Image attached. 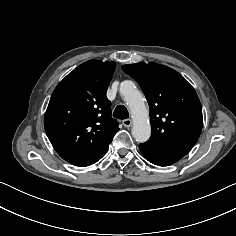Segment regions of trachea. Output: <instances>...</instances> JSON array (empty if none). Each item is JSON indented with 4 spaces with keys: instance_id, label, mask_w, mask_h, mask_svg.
<instances>
[{
    "instance_id": "obj_1",
    "label": "trachea",
    "mask_w": 236,
    "mask_h": 236,
    "mask_svg": "<svg viewBox=\"0 0 236 236\" xmlns=\"http://www.w3.org/2000/svg\"><path fill=\"white\" fill-rule=\"evenodd\" d=\"M113 117L121 120L127 119L129 117L128 110L124 105H118L114 110Z\"/></svg>"
}]
</instances>
